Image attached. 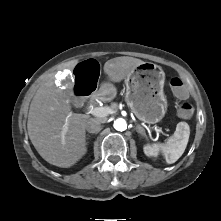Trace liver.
<instances>
[{
    "mask_svg": "<svg viewBox=\"0 0 221 221\" xmlns=\"http://www.w3.org/2000/svg\"><path fill=\"white\" fill-rule=\"evenodd\" d=\"M77 63L71 61L67 68L73 70ZM142 63L133 57H116L108 60L103 70L110 81L120 82ZM72 89L70 85L62 90L55 85L53 76L47 78L33 97L28 114L27 129L33 146L45 161L61 168L73 166L87 151L85 124L90 118L72 113ZM66 120L69 125L64 133Z\"/></svg>",
    "mask_w": 221,
    "mask_h": 221,
    "instance_id": "obj_1",
    "label": "liver"
}]
</instances>
